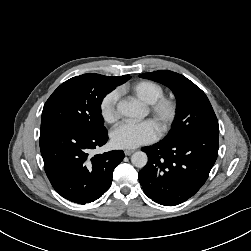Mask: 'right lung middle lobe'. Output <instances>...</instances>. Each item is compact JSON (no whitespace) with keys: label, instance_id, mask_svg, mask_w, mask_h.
<instances>
[{"label":"right lung middle lobe","instance_id":"right-lung-middle-lobe-1","mask_svg":"<svg viewBox=\"0 0 251 251\" xmlns=\"http://www.w3.org/2000/svg\"><path fill=\"white\" fill-rule=\"evenodd\" d=\"M129 78V75L121 80L87 73L65 81L45 103L41 128L53 124H66L86 131H105L101 115L102 100Z\"/></svg>","mask_w":251,"mask_h":251}]
</instances>
